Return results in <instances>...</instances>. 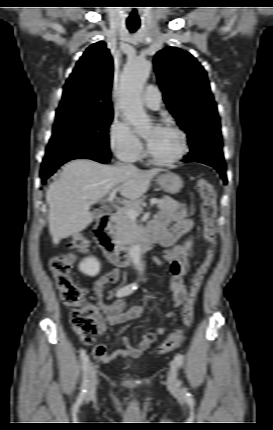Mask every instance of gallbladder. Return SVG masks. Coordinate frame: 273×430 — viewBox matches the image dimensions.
<instances>
[{"label": "gallbladder", "mask_w": 273, "mask_h": 430, "mask_svg": "<svg viewBox=\"0 0 273 430\" xmlns=\"http://www.w3.org/2000/svg\"><path fill=\"white\" fill-rule=\"evenodd\" d=\"M92 214L94 218H99L100 216H102V212L100 210H94Z\"/></svg>", "instance_id": "1"}]
</instances>
